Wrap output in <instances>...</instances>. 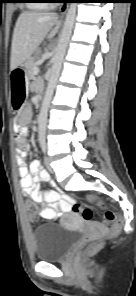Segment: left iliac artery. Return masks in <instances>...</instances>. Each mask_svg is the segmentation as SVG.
Masks as SVG:
<instances>
[{
  "mask_svg": "<svg viewBox=\"0 0 136 296\" xmlns=\"http://www.w3.org/2000/svg\"><path fill=\"white\" fill-rule=\"evenodd\" d=\"M41 148H42V151L45 153L46 152V149H47V146L45 143H42L41 144Z\"/></svg>",
  "mask_w": 136,
  "mask_h": 296,
  "instance_id": "obj_1",
  "label": "left iliac artery"
}]
</instances>
